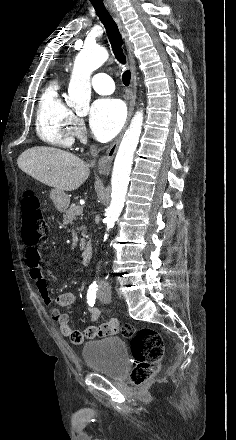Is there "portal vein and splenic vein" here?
I'll use <instances>...</instances> for the list:
<instances>
[{
    "label": "portal vein and splenic vein",
    "instance_id": "obj_1",
    "mask_svg": "<svg viewBox=\"0 0 236 440\" xmlns=\"http://www.w3.org/2000/svg\"><path fill=\"white\" fill-rule=\"evenodd\" d=\"M77 213H82V207H79V208L77 209Z\"/></svg>",
    "mask_w": 236,
    "mask_h": 440
}]
</instances>
